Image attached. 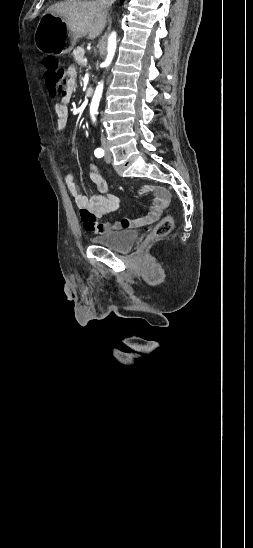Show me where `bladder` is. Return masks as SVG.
<instances>
[{
    "mask_svg": "<svg viewBox=\"0 0 253 548\" xmlns=\"http://www.w3.org/2000/svg\"><path fill=\"white\" fill-rule=\"evenodd\" d=\"M137 236L135 230L109 231L94 236L91 241L114 251H126L134 244Z\"/></svg>",
    "mask_w": 253,
    "mask_h": 548,
    "instance_id": "1",
    "label": "bladder"
}]
</instances>
